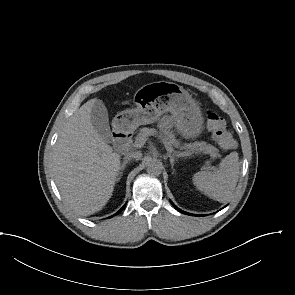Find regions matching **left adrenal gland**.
Returning <instances> with one entry per match:
<instances>
[{
    "label": "left adrenal gland",
    "mask_w": 295,
    "mask_h": 295,
    "mask_svg": "<svg viewBox=\"0 0 295 295\" xmlns=\"http://www.w3.org/2000/svg\"><path fill=\"white\" fill-rule=\"evenodd\" d=\"M167 156L170 158L171 168L173 169L174 162H175V160H177V159L175 158V156H173V155H171V154H167Z\"/></svg>",
    "instance_id": "left-adrenal-gland-1"
}]
</instances>
